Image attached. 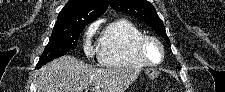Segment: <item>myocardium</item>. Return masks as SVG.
<instances>
[{"mask_svg": "<svg viewBox=\"0 0 225 92\" xmlns=\"http://www.w3.org/2000/svg\"><path fill=\"white\" fill-rule=\"evenodd\" d=\"M149 43L156 45L157 48L159 49L160 56L158 60L151 61L150 59H148L145 49ZM136 51L142 63L149 67H156L160 65L164 60V55H165L164 47L162 43L154 36H150V35L141 36L139 40L136 42Z\"/></svg>", "mask_w": 225, "mask_h": 92, "instance_id": "1", "label": "myocardium"}]
</instances>
